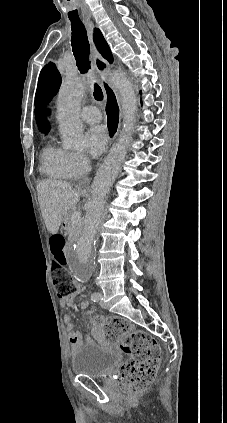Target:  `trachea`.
Masks as SVG:
<instances>
[{
  "instance_id": "1",
  "label": "trachea",
  "mask_w": 227,
  "mask_h": 423,
  "mask_svg": "<svg viewBox=\"0 0 227 423\" xmlns=\"http://www.w3.org/2000/svg\"><path fill=\"white\" fill-rule=\"evenodd\" d=\"M70 22L72 27L71 45L76 59V65L80 73H87L91 68V62L89 59L90 45L86 28L79 18H72ZM94 98L98 102L103 100L102 89L97 83L94 84Z\"/></svg>"
}]
</instances>
